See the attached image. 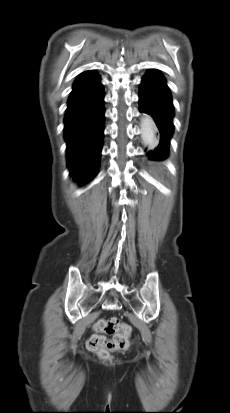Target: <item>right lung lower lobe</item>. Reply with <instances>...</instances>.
Listing matches in <instances>:
<instances>
[{"mask_svg": "<svg viewBox=\"0 0 230 413\" xmlns=\"http://www.w3.org/2000/svg\"><path fill=\"white\" fill-rule=\"evenodd\" d=\"M104 89L93 70L81 73L73 84L64 118V137L70 174L81 185L98 171L103 144Z\"/></svg>", "mask_w": 230, "mask_h": 413, "instance_id": "right-lung-lower-lobe-1", "label": "right lung lower lobe"}]
</instances>
